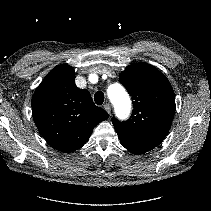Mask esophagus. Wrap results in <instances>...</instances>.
Returning <instances> with one entry per match:
<instances>
[{
  "mask_svg": "<svg viewBox=\"0 0 211 211\" xmlns=\"http://www.w3.org/2000/svg\"><path fill=\"white\" fill-rule=\"evenodd\" d=\"M104 109L106 110V112H108V113L110 114V112H111V106H110L109 103H106V104L104 105Z\"/></svg>",
  "mask_w": 211,
  "mask_h": 211,
  "instance_id": "esophagus-1",
  "label": "esophagus"
}]
</instances>
